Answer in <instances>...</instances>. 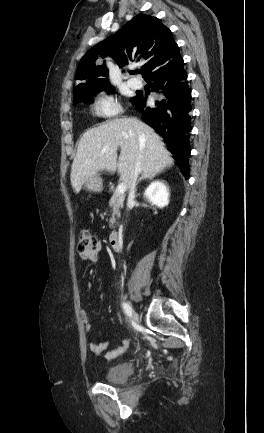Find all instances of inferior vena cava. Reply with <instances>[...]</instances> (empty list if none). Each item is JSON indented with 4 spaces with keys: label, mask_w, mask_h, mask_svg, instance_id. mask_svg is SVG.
Listing matches in <instances>:
<instances>
[{
    "label": "inferior vena cava",
    "mask_w": 264,
    "mask_h": 433,
    "mask_svg": "<svg viewBox=\"0 0 264 433\" xmlns=\"http://www.w3.org/2000/svg\"><path fill=\"white\" fill-rule=\"evenodd\" d=\"M142 172V168H141V163L140 161L137 162L136 166H135V170L133 172V175L131 177V181H130V187H129V196H128V208H130V204L131 202L134 200L135 198V192H136V185H137V178L138 175Z\"/></svg>",
    "instance_id": "602c4592"
}]
</instances>
